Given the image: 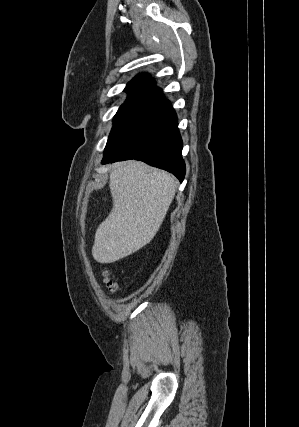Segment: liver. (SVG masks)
Masks as SVG:
<instances>
[{"label":"liver","mask_w":299,"mask_h":427,"mask_svg":"<svg viewBox=\"0 0 299 427\" xmlns=\"http://www.w3.org/2000/svg\"><path fill=\"white\" fill-rule=\"evenodd\" d=\"M109 187L113 208L98 226L92 247L93 258L103 264L131 255L154 238L177 183L168 172L131 160L113 165Z\"/></svg>","instance_id":"obj_1"}]
</instances>
